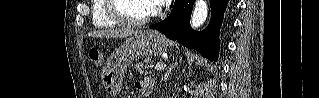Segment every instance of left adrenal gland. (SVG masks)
Instances as JSON below:
<instances>
[{"label":"left adrenal gland","mask_w":319,"mask_h":98,"mask_svg":"<svg viewBox=\"0 0 319 98\" xmlns=\"http://www.w3.org/2000/svg\"><path fill=\"white\" fill-rule=\"evenodd\" d=\"M172 69H173V66L168 67L164 77L162 78V81L166 82L169 79Z\"/></svg>","instance_id":"obj_1"}]
</instances>
